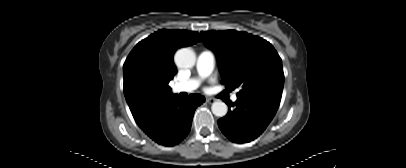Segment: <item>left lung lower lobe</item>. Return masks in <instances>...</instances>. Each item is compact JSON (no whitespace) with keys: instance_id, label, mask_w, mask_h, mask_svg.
Returning a JSON list of instances; mask_svg holds the SVG:
<instances>
[{"instance_id":"1","label":"left lung lower lobe","mask_w":406,"mask_h":168,"mask_svg":"<svg viewBox=\"0 0 406 168\" xmlns=\"http://www.w3.org/2000/svg\"><path fill=\"white\" fill-rule=\"evenodd\" d=\"M229 106L226 116L218 120L223 134L232 142L245 143L257 138L273 119L279 104L258 98H240ZM231 106L234 109L231 110Z\"/></svg>"}]
</instances>
